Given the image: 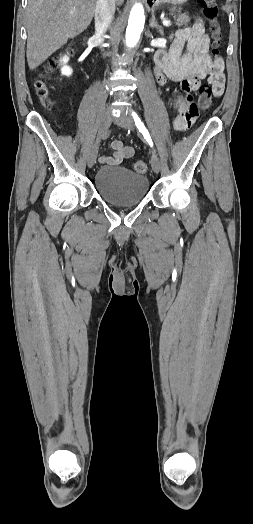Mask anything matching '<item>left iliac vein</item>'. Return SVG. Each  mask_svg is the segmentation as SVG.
Instances as JSON below:
<instances>
[{
  "label": "left iliac vein",
  "mask_w": 253,
  "mask_h": 524,
  "mask_svg": "<svg viewBox=\"0 0 253 524\" xmlns=\"http://www.w3.org/2000/svg\"><path fill=\"white\" fill-rule=\"evenodd\" d=\"M114 123H116L117 125L125 129H129V130L134 129L133 120L127 114H122L121 116L114 118ZM150 163H151V166L154 172L158 173L161 168V163L157 155L152 154Z\"/></svg>",
  "instance_id": "1"
}]
</instances>
